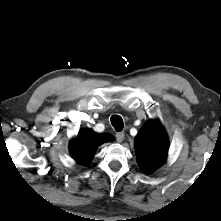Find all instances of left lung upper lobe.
I'll use <instances>...</instances> for the list:
<instances>
[{
  "label": "left lung upper lobe",
  "instance_id": "left-lung-upper-lobe-1",
  "mask_svg": "<svg viewBox=\"0 0 221 221\" xmlns=\"http://www.w3.org/2000/svg\"><path fill=\"white\" fill-rule=\"evenodd\" d=\"M136 155L141 169L150 173L163 164L168 152V138L158 121L144 124L135 138Z\"/></svg>",
  "mask_w": 221,
  "mask_h": 221
}]
</instances>
